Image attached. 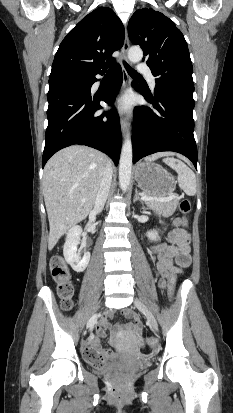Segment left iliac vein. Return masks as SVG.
<instances>
[{"instance_id":"4c4485c4","label":"left iliac vein","mask_w":233,"mask_h":413,"mask_svg":"<svg viewBox=\"0 0 233 413\" xmlns=\"http://www.w3.org/2000/svg\"><path fill=\"white\" fill-rule=\"evenodd\" d=\"M134 305L137 307L138 310H140L146 317L150 328L154 331H158V324L157 321L153 315V313L147 308V306L138 298L134 299Z\"/></svg>"}]
</instances>
